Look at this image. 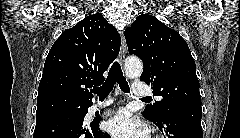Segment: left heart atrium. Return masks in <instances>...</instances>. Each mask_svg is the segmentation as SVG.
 <instances>
[{"label": "left heart atrium", "mask_w": 240, "mask_h": 138, "mask_svg": "<svg viewBox=\"0 0 240 138\" xmlns=\"http://www.w3.org/2000/svg\"><path fill=\"white\" fill-rule=\"evenodd\" d=\"M108 131L116 138H142L147 129L127 109H120L107 122Z\"/></svg>", "instance_id": "1"}]
</instances>
